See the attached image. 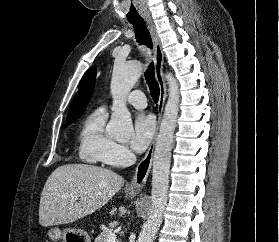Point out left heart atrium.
<instances>
[{
    "mask_svg": "<svg viewBox=\"0 0 279 242\" xmlns=\"http://www.w3.org/2000/svg\"><path fill=\"white\" fill-rule=\"evenodd\" d=\"M155 133L154 118L146 113H139L133 125L131 147L134 151L143 152L150 144Z\"/></svg>",
    "mask_w": 279,
    "mask_h": 242,
    "instance_id": "left-heart-atrium-1",
    "label": "left heart atrium"
}]
</instances>
